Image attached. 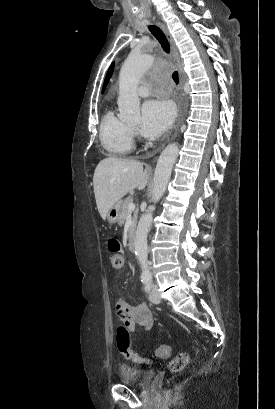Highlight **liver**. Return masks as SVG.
Returning a JSON list of instances; mask_svg holds the SVG:
<instances>
[{
    "instance_id": "obj_1",
    "label": "liver",
    "mask_w": 275,
    "mask_h": 409,
    "mask_svg": "<svg viewBox=\"0 0 275 409\" xmlns=\"http://www.w3.org/2000/svg\"><path fill=\"white\" fill-rule=\"evenodd\" d=\"M148 182L147 168L143 162L128 158H103L97 164L93 186L97 209L105 221L109 209L132 188L142 190Z\"/></svg>"
}]
</instances>
